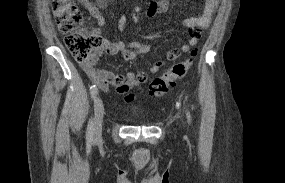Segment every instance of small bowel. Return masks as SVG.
Listing matches in <instances>:
<instances>
[{
    "label": "small bowel",
    "instance_id": "small-bowel-1",
    "mask_svg": "<svg viewBox=\"0 0 285 183\" xmlns=\"http://www.w3.org/2000/svg\"><path fill=\"white\" fill-rule=\"evenodd\" d=\"M80 3L96 20L99 27L106 25V18L102 12L108 6L109 0H80ZM218 0H203V9L198 16L188 17L183 21L186 28L189 29V38L186 43L178 44L175 49L166 53V61L172 62L177 60L182 53L191 50L199 41L201 32L210 25L217 8ZM167 0H152L147 10L148 16L163 15L168 10ZM126 21L122 18L119 22V31H123ZM151 50V46L145 42H127V41H111L107 38L102 39L101 46L95 51L94 55L88 61L81 63L84 73L92 79L97 86L104 92H108L110 87L121 95L122 102H132L137 95L143 92L142 85L148 80V72H125L115 73L107 69H99L96 67L97 59L101 55H117L119 54L126 62L134 61L139 55L146 54ZM165 60L158 59L149 67V73L155 74L160 71L166 64ZM135 89V91H133Z\"/></svg>",
    "mask_w": 285,
    "mask_h": 183
}]
</instances>
